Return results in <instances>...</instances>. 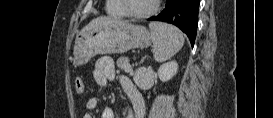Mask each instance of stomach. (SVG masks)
I'll return each instance as SVG.
<instances>
[{"mask_svg":"<svg viewBox=\"0 0 273 118\" xmlns=\"http://www.w3.org/2000/svg\"><path fill=\"white\" fill-rule=\"evenodd\" d=\"M151 42V33L144 26L115 21L80 33L75 40L73 59L77 65H83L98 54L124 53L146 48Z\"/></svg>","mask_w":273,"mask_h":118,"instance_id":"0dacf381","label":"stomach"}]
</instances>
